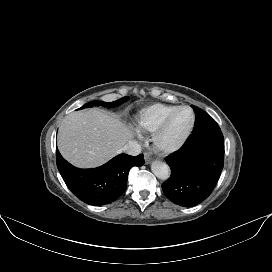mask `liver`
<instances>
[{"mask_svg":"<svg viewBox=\"0 0 272 272\" xmlns=\"http://www.w3.org/2000/svg\"><path fill=\"white\" fill-rule=\"evenodd\" d=\"M132 138L121 120L100 109L69 114L58 131V149L71 164L93 168L106 163Z\"/></svg>","mask_w":272,"mask_h":272,"instance_id":"1","label":"liver"}]
</instances>
